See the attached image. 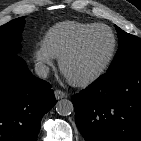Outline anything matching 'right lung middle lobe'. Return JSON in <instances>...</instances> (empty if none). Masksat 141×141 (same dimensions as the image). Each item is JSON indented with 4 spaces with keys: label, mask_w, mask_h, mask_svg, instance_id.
Returning <instances> with one entry per match:
<instances>
[{
    "label": "right lung middle lobe",
    "mask_w": 141,
    "mask_h": 141,
    "mask_svg": "<svg viewBox=\"0 0 141 141\" xmlns=\"http://www.w3.org/2000/svg\"><path fill=\"white\" fill-rule=\"evenodd\" d=\"M24 24V17H20L0 26V58L15 56L20 50Z\"/></svg>",
    "instance_id": "dd1d6c3e"
}]
</instances>
